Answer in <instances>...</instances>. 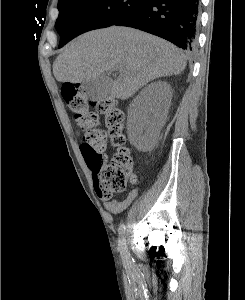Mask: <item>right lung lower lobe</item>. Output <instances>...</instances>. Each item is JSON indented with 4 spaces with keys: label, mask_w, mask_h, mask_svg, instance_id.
<instances>
[{
    "label": "right lung lower lobe",
    "mask_w": 245,
    "mask_h": 300,
    "mask_svg": "<svg viewBox=\"0 0 245 300\" xmlns=\"http://www.w3.org/2000/svg\"><path fill=\"white\" fill-rule=\"evenodd\" d=\"M199 21V0H148L115 23L162 37L193 51Z\"/></svg>",
    "instance_id": "1"
}]
</instances>
